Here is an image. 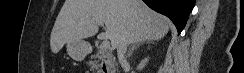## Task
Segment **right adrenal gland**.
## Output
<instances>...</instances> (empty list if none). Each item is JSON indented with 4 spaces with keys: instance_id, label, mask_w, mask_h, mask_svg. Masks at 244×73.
<instances>
[{
    "instance_id": "1",
    "label": "right adrenal gland",
    "mask_w": 244,
    "mask_h": 73,
    "mask_svg": "<svg viewBox=\"0 0 244 73\" xmlns=\"http://www.w3.org/2000/svg\"><path fill=\"white\" fill-rule=\"evenodd\" d=\"M144 43L149 44V43H154V42H152V41H141V42H139V43L133 44V45L131 46V48L129 49L128 56H131L132 53H133V51H134L137 47L143 45Z\"/></svg>"
}]
</instances>
